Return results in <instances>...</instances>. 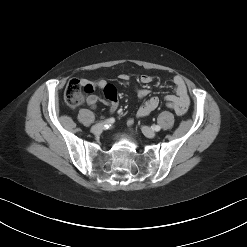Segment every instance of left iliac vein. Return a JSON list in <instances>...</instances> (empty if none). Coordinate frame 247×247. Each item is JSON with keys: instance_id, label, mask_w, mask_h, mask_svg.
Here are the masks:
<instances>
[{"instance_id": "1", "label": "left iliac vein", "mask_w": 247, "mask_h": 247, "mask_svg": "<svg viewBox=\"0 0 247 247\" xmlns=\"http://www.w3.org/2000/svg\"><path fill=\"white\" fill-rule=\"evenodd\" d=\"M141 129L144 135L148 138H154L156 136V133L148 126H142Z\"/></svg>"}]
</instances>
